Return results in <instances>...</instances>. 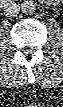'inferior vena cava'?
Wrapping results in <instances>:
<instances>
[{
	"mask_svg": "<svg viewBox=\"0 0 63 107\" xmlns=\"http://www.w3.org/2000/svg\"><path fill=\"white\" fill-rule=\"evenodd\" d=\"M20 6L15 2H8L4 6V15L6 17H15L19 14Z\"/></svg>",
	"mask_w": 63,
	"mask_h": 107,
	"instance_id": "inferior-vena-cava-1",
	"label": "inferior vena cava"
}]
</instances>
